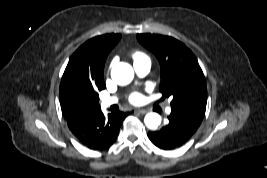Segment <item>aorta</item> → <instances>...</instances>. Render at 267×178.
I'll list each match as a JSON object with an SVG mask.
<instances>
[{"label":"aorta","instance_id":"obj_1","mask_svg":"<svg viewBox=\"0 0 267 178\" xmlns=\"http://www.w3.org/2000/svg\"><path fill=\"white\" fill-rule=\"evenodd\" d=\"M111 77L117 84L127 85L134 78V70L130 64L120 62L113 66L111 70ZM144 123L147 128L155 130L161 124V116L155 112H150L146 114Z\"/></svg>","mask_w":267,"mask_h":178}]
</instances>
